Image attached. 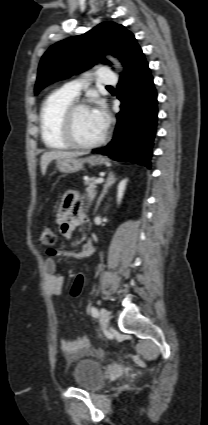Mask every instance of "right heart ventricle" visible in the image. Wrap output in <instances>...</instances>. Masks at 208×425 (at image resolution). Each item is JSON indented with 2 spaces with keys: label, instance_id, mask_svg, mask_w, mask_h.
Listing matches in <instances>:
<instances>
[{
  "label": "right heart ventricle",
  "instance_id": "e07e8e85",
  "mask_svg": "<svg viewBox=\"0 0 208 425\" xmlns=\"http://www.w3.org/2000/svg\"><path fill=\"white\" fill-rule=\"evenodd\" d=\"M75 99L61 90L50 94L40 110V132L45 146L52 150H66L71 146L62 135V117Z\"/></svg>",
  "mask_w": 208,
  "mask_h": 425
}]
</instances>
